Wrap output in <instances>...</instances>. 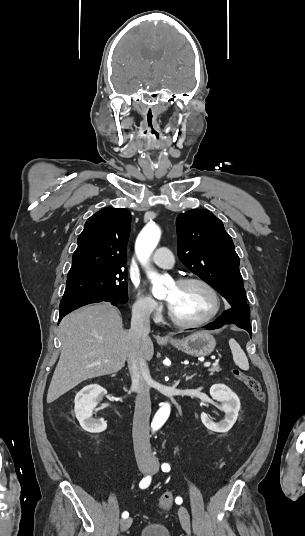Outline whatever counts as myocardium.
Instances as JSON below:
<instances>
[{
    "label": "myocardium",
    "instance_id": "obj_1",
    "mask_svg": "<svg viewBox=\"0 0 305 536\" xmlns=\"http://www.w3.org/2000/svg\"><path fill=\"white\" fill-rule=\"evenodd\" d=\"M177 285L185 286V285H191V284H200L206 288H208L216 297L217 300V307L216 310L206 319L198 320V321H192L185 319L178 315L170 306H168V315L171 318L173 322L176 324L187 327V328H198L203 327L206 325H209L210 323L214 322L224 311L225 308V301L224 298L219 291V289L214 286L209 281L200 278V277H184L177 281Z\"/></svg>",
    "mask_w": 305,
    "mask_h": 536
}]
</instances>
